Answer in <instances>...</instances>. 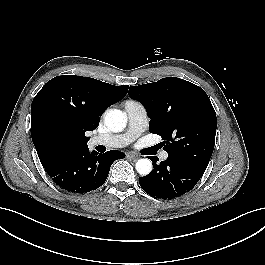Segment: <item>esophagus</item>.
<instances>
[{
  "mask_svg": "<svg viewBox=\"0 0 265 265\" xmlns=\"http://www.w3.org/2000/svg\"><path fill=\"white\" fill-rule=\"evenodd\" d=\"M127 156H128L129 158L133 159V160H136V159L139 158V156L136 155V154H134V153H128Z\"/></svg>",
  "mask_w": 265,
  "mask_h": 265,
  "instance_id": "obj_1",
  "label": "esophagus"
}]
</instances>
